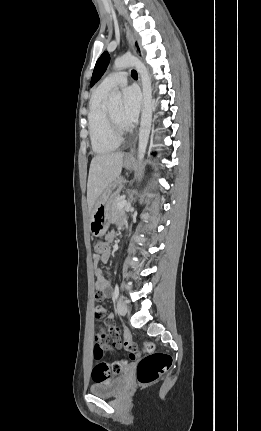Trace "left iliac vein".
Masks as SVG:
<instances>
[{"mask_svg":"<svg viewBox=\"0 0 261 431\" xmlns=\"http://www.w3.org/2000/svg\"><path fill=\"white\" fill-rule=\"evenodd\" d=\"M117 311L121 316H125L128 311L127 303L122 297L117 302Z\"/></svg>","mask_w":261,"mask_h":431,"instance_id":"obj_1","label":"left iliac vein"}]
</instances>
